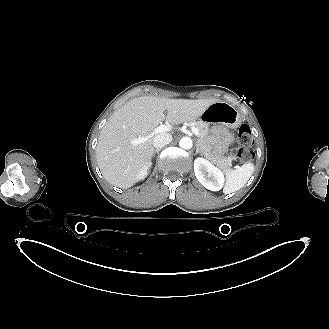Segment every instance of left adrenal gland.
Listing matches in <instances>:
<instances>
[{"label":"left adrenal gland","instance_id":"1","mask_svg":"<svg viewBox=\"0 0 329 329\" xmlns=\"http://www.w3.org/2000/svg\"><path fill=\"white\" fill-rule=\"evenodd\" d=\"M200 154V155H203L202 154V151L200 150L199 146H198V143L196 144V154Z\"/></svg>","mask_w":329,"mask_h":329}]
</instances>
